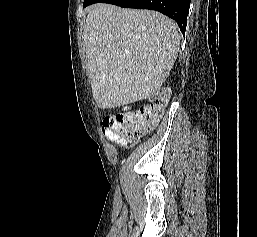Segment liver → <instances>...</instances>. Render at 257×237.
Returning a JSON list of instances; mask_svg holds the SVG:
<instances>
[{"mask_svg":"<svg viewBox=\"0 0 257 237\" xmlns=\"http://www.w3.org/2000/svg\"><path fill=\"white\" fill-rule=\"evenodd\" d=\"M84 42L98 107L111 109L153 96L180 49L177 24L161 13L97 4Z\"/></svg>","mask_w":257,"mask_h":237,"instance_id":"1","label":"liver"}]
</instances>
